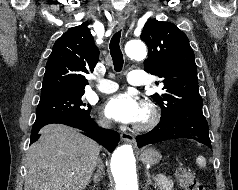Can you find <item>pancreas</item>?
I'll use <instances>...</instances> for the list:
<instances>
[{"mask_svg": "<svg viewBox=\"0 0 238 190\" xmlns=\"http://www.w3.org/2000/svg\"><path fill=\"white\" fill-rule=\"evenodd\" d=\"M156 186L160 188V190H173L174 183L170 178L165 176H158L155 178Z\"/></svg>", "mask_w": 238, "mask_h": 190, "instance_id": "1", "label": "pancreas"}]
</instances>
